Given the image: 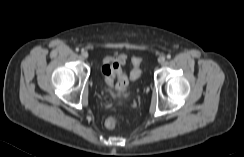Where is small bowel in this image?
<instances>
[{
	"label": "small bowel",
	"instance_id": "small-bowel-1",
	"mask_svg": "<svg viewBox=\"0 0 244 157\" xmlns=\"http://www.w3.org/2000/svg\"><path fill=\"white\" fill-rule=\"evenodd\" d=\"M128 62V57L125 54H118V55H114V56H109L107 57L104 62H103V66L106 64H111V63H117L119 64L121 67L125 66Z\"/></svg>",
	"mask_w": 244,
	"mask_h": 157
}]
</instances>
